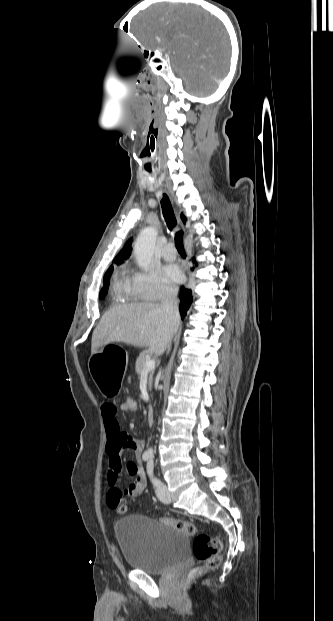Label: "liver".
<instances>
[{"instance_id":"liver-1","label":"liver","mask_w":333,"mask_h":621,"mask_svg":"<svg viewBox=\"0 0 333 621\" xmlns=\"http://www.w3.org/2000/svg\"><path fill=\"white\" fill-rule=\"evenodd\" d=\"M170 330L171 323L161 304L116 305L102 316L95 328L91 353L111 342H123L134 347L148 346L156 355H161L167 348Z\"/></svg>"}]
</instances>
